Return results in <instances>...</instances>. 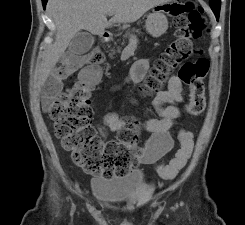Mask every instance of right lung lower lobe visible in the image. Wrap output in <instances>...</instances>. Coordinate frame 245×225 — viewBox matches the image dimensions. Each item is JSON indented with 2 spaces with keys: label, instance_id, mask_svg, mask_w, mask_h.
<instances>
[{
  "label": "right lung lower lobe",
  "instance_id": "98d812e1",
  "mask_svg": "<svg viewBox=\"0 0 245 225\" xmlns=\"http://www.w3.org/2000/svg\"><path fill=\"white\" fill-rule=\"evenodd\" d=\"M47 1H48V0H42L44 9H45V6H46Z\"/></svg>",
  "mask_w": 245,
  "mask_h": 225
}]
</instances>
